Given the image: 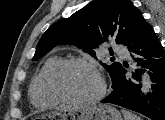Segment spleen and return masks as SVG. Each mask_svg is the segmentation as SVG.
Here are the masks:
<instances>
[{"label": "spleen", "mask_w": 165, "mask_h": 120, "mask_svg": "<svg viewBox=\"0 0 165 120\" xmlns=\"http://www.w3.org/2000/svg\"><path fill=\"white\" fill-rule=\"evenodd\" d=\"M125 120H141L137 115L132 114L127 110H122Z\"/></svg>", "instance_id": "obj_1"}]
</instances>
